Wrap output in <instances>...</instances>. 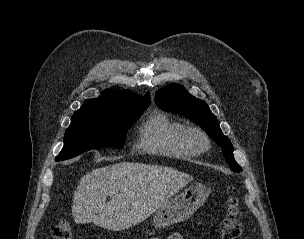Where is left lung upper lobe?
<instances>
[{
  "label": "left lung upper lobe",
  "mask_w": 304,
  "mask_h": 239,
  "mask_svg": "<svg viewBox=\"0 0 304 239\" xmlns=\"http://www.w3.org/2000/svg\"><path fill=\"white\" fill-rule=\"evenodd\" d=\"M155 100L162 110L183 115L201 126L222 147L231 169L236 172L242 170L233 157L230 140L222 133L217 118L204 101L190 95L183 86L176 84L158 90Z\"/></svg>",
  "instance_id": "5c2ea615"
}]
</instances>
